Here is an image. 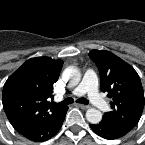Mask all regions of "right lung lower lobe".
Instances as JSON below:
<instances>
[{"label": "right lung lower lobe", "mask_w": 145, "mask_h": 145, "mask_svg": "<svg viewBox=\"0 0 145 145\" xmlns=\"http://www.w3.org/2000/svg\"><path fill=\"white\" fill-rule=\"evenodd\" d=\"M68 107L56 114V116L45 126L34 131L23 134L28 139L35 142H43L53 137L61 128L65 119Z\"/></svg>", "instance_id": "98d812e1"}]
</instances>
